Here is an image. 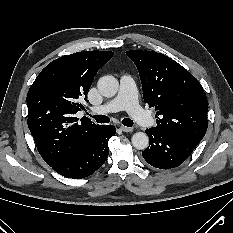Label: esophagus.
<instances>
[{"mask_svg": "<svg viewBox=\"0 0 233 233\" xmlns=\"http://www.w3.org/2000/svg\"><path fill=\"white\" fill-rule=\"evenodd\" d=\"M123 132H132L133 128L132 127H127V126H121L120 127Z\"/></svg>", "mask_w": 233, "mask_h": 233, "instance_id": "esophagus-1", "label": "esophagus"}]
</instances>
